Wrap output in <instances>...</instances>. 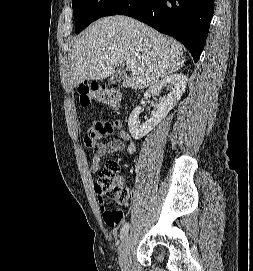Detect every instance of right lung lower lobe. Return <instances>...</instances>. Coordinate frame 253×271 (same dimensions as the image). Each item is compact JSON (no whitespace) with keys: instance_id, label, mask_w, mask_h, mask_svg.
<instances>
[{"instance_id":"obj_1","label":"right lung lower lobe","mask_w":253,"mask_h":271,"mask_svg":"<svg viewBox=\"0 0 253 271\" xmlns=\"http://www.w3.org/2000/svg\"><path fill=\"white\" fill-rule=\"evenodd\" d=\"M213 12L214 0H126L114 15L136 18L178 39L197 62Z\"/></svg>"}]
</instances>
